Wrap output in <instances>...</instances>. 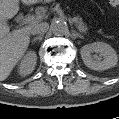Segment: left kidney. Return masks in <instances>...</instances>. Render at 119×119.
Wrapping results in <instances>:
<instances>
[{"label":"left kidney","mask_w":119,"mask_h":119,"mask_svg":"<svg viewBox=\"0 0 119 119\" xmlns=\"http://www.w3.org/2000/svg\"><path fill=\"white\" fill-rule=\"evenodd\" d=\"M93 52L99 54V56H92L91 53ZM80 54L84 64L92 70H106L114 67L118 62L115 50L109 44L103 42H94L83 46ZM101 58H103L102 61Z\"/></svg>","instance_id":"left-kidney-1"}]
</instances>
